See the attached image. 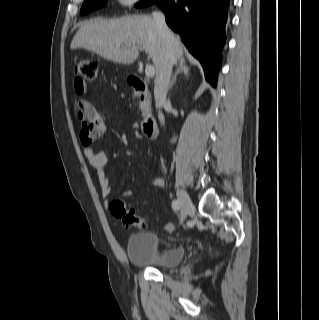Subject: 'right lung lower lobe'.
<instances>
[{"instance_id":"98d812e1","label":"right lung lower lobe","mask_w":319,"mask_h":320,"mask_svg":"<svg viewBox=\"0 0 319 320\" xmlns=\"http://www.w3.org/2000/svg\"><path fill=\"white\" fill-rule=\"evenodd\" d=\"M230 0H154L166 22L179 33L188 50L201 62L206 80L216 85ZM148 5V6H149Z\"/></svg>"}]
</instances>
